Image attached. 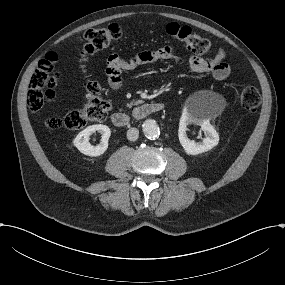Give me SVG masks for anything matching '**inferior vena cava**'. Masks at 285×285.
Masks as SVG:
<instances>
[{
  "label": "inferior vena cava",
  "instance_id": "inferior-vena-cava-1",
  "mask_svg": "<svg viewBox=\"0 0 285 285\" xmlns=\"http://www.w3.org/2000/svg\"><path fill=\"white\" fill-rule=\"evenodd\" d=\"M139 136V131L137 128H130L127 131V139L130 141H136Z\"/></svg>",
  "mask_w": 285,
  "mask_h": 285
}]
</instances>
